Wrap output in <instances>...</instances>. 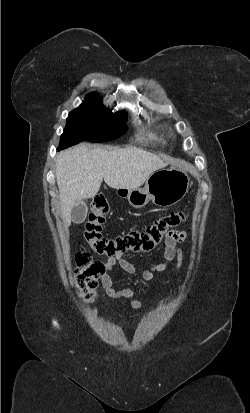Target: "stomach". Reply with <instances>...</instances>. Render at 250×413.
<instances>
[{
    "mask_svg": "<svg viewBox=\"0 0 250 413\" xmlns=\"http://www.w3.org/2000/svg\"><path fill=\"white\" fill-rule=\"evenodd\" d=\"M190 178L180 166L152 173L143 188H117L118 195L126 197L134 208L145 207L150 200L159 207H170L180 202L188 192Z\"/></svg>",
    "mask_w": 250,
    "mask_h": 413,
    "instance_id": "0dacf381",
    "label": "stomach"
}]
</instances>
